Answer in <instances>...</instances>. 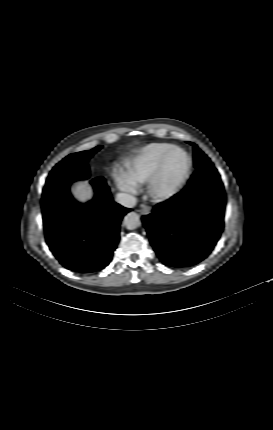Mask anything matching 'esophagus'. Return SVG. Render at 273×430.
<instances>
[{
	"instance_id": "1",
	"label": "esophagus",
	"mask_w": 273,
	"mask_h": 430,
	"mask_svg": "<svg viewBox=\"0 0 273 430\" xmlns=\"http://www.w3.org/2000/svg\"><path fill=\"white\" fill-rule=\"evenodd\" d=\"M140 214L142 215H149L151 213V207L147 206V205H143L140 210H139Z\"/></svg>"
}]
</instances>
